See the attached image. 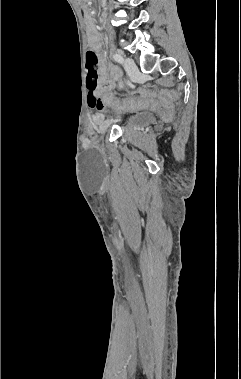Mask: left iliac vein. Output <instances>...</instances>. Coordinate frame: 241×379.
Wrapping results in <instances>:
<instances>
[{"mask_svg":"<svg viewBox=\"0 0 241 379\" xmlns=\"http://www.w3.org/2000/svg\"><path fill=\"white\" fill-rule=\"evenodd\" d=\"M123 65L126 72L129 74L131 78L134 79L139 75V70L131 58H128V57L125 58L123 61ZM110 124H111V121L109 120L105 121L100 128V133H105L107 128L110 126Z\"/></svg>","mask_w":241,"mask_h":379,"instance_id":"4c4485c4","label":"left iliac vein"}]
</instances>
